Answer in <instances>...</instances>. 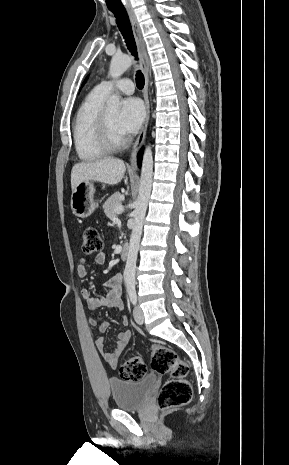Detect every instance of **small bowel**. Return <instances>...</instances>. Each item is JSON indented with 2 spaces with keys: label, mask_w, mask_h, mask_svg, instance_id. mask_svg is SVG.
<instances>
[{
  "label": "small bowel",
  "mask_w": 289,
  "mask_h": 465,
  "mask_svg": "<svg viewBox=\"0 0 289 465\" xmlns=\"http://www.w3.org/2000/svg\"><path fill=\"white\" fill-rule=\"evenodd\" d=\"M90 261V256H83L79 259L77 274L80 278H85L87 275V266ZM94 263L97 265H103L106 261V255L104 253L97 254L94 259ZM121 282L122 276L116 274L101 286L103 294L94 296L89 290L84 289L82 291L83 298L91 310H96L103 306L114 307L123 309V303L121 301ZM89 323L96 326L101 333H104L109 323L107 321H99L97 316L92 315L89 319ZM122 324L127 325L128 319L126 316L122 318ZM131 338V332L129 330H123L118 333L117 341L111 350L105 349L104 337L100 336L95 341L96 347L101 353L103 359L113 368L116 367L117 361L124 351L126 345Z\"/></svg>",
  "instance_id": "obj_1"
}]
</instances>
